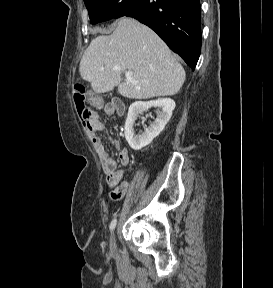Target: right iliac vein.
I'll return each mask as SVG.
<instances>
[{
    "label": "right iliac vein",
    "instance_id": "1",
    "mask_svg": "<svg viewBox=\"0 0 273 288\" xmlns=\"http://www.w3.org/2000/svg\"><path fill=\"white\" fill-rule=\"evenodd\" d=\"M110 248L114 249L115 248V233L112 232L111 237H110Z\"/></svg>",
    "mask_w": 273,
    "mask_h": 288
}]
</instances>
